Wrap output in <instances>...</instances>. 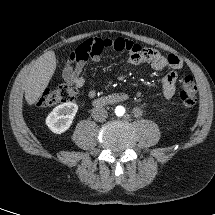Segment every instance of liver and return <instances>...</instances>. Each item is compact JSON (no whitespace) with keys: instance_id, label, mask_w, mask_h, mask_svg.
<instances>
[{"instance_id":"liver-1","label":"liver","mask_w":215,"mask_h":215,"mask_svg":"<svg viewBox=\"0 0 215 215\" xmlns=\"http://www.w3.org/2000/svg\"><path fill=\"white\" fill-rule=\"evenodd\" d=\"M56 63L55 53L47 51L31 67L24 82L25 100L29 105L42 96L55 72Z\"/></svg>"}]
</instances>
